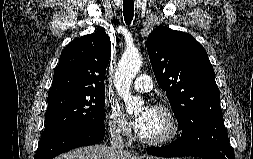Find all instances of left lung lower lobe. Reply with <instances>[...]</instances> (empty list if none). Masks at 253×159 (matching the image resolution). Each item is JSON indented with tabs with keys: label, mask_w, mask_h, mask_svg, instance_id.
I'll use <instances>...</instances> for the list:
<instances>
[{
	"label": "left lung lower lobe",
	"mask_w": 253,
	"mask_h": 159,
	"mask_svg": "<svg viewBox=\"0 0 253 159\" xmlns=\"http://www.w3.org/2000/svg\"><path fill=\"white\" fill-rule=\"evenodd\" d=\"M148 153L158 157L194 156L204 159H235L230 147L223 116L202 121L182 132L168 146L150 147Z\"/></svg>",
	"instance_id": "0a47b994"
}]
</instances>
